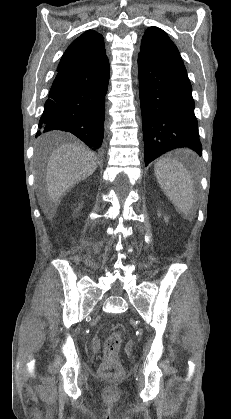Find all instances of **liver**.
<instances>
[{
  "mask_svg": "<svg viewBox=\"0 0 231 419\" xmlns=\"http://www.w3.org/2000/svg\"><path fill=\"white\" fill-rule=\"evenodd\" d=\"M96 168L97 158L94 153L82 146L63 144L56 149L47 164L48 202L42 205L44 213L52 218L56 212V204L65 192L93 174Z\"/></svg>",
  "mask_w": 231,
  "mask_h": 419,
  "instance_id": "liver-1",
  "label": "liver"
}]
</instances>
